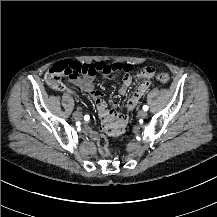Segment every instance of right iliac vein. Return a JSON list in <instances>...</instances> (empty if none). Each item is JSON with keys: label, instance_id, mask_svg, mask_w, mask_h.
<instances>
[{"label": "right iliac vein", "instance_id": "right-iliac-vein-1", "mask_svg": "<svg viewBox=\"0 0 217 217\" xmlns=\"http://www.w3.org/2000/svg\"><path fill=\"white\" fill-rule=\"evenodd\" d=\"M73 117L76 119V120H80L82 118V114L81 112L79 111H76L73 113Z\"/></svg>", "mask_w": 217, "mask_h": 217}]
</instances>
